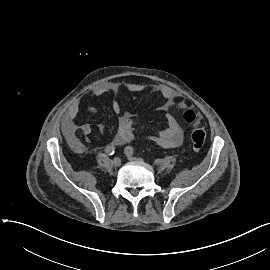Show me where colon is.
Returning <instances> with one entry per match:
<instances>
[{"label":"colon","mask_w":270,"mask_h":270,"mask_svg":"<svg viewBox=\"0 0 270 270\" xmlns=\"http://www.w3.org/2000/svg\"><path fill=\"white\" fill-rule=\"evenodd\" d=\"M175 111L187 124L191 126V144L193 150H201L206 138V133L202 126V120L193 109L182 104H177L175 106Z\"/></svg>","instance_id":"5ec220e1"}]
</instances>
